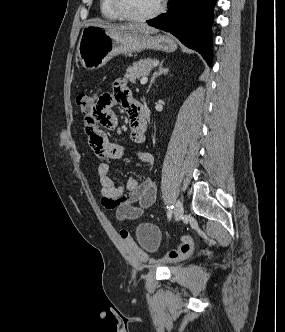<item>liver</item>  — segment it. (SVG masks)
Segmentation results:
<instances>
[{
	"mask_svg": "<svg viewBox=\"0 0 285 332\" xmlns=\"http://www.w3.org/2000/svg\"><path fill=\"white\" fill-rule=\"evenodd\" d=\"M87 25H95L98 27L105 28L112 33H117V34H141V35H149V34H154L157 33L158 30L149 27L147 25H135V24H127V25H110L108 23L98 21L94 23H90Z\"/></svg>",
	"mask_w": 285,
	"mask_h": 332,
	"instance_id": "liver-1",
	"label": "liver"
}]
</instances>
